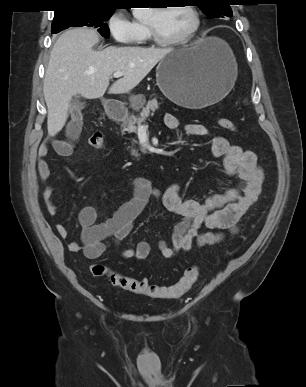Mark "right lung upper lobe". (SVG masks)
<instances>
[{
	"label": "right lung upper lobe",
	"instance_id": "obj_1",
	"mask_svg": "<svg viewBox=\"0 0 306 387\" xmlns=\"http://www.w3.org/2000/svg\"><path fill=\"white\" fill-rule=\"evenodd\" d=\"M59 6L55 11L58 14L71 8H104L115 9L116 0H58Z\"/></svg>",
	"mask_w": 306,
	"mask_h": 387
}]
</instances>
